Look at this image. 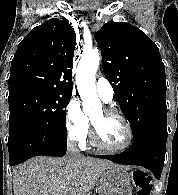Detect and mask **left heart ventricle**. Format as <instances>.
<instances>
[{
	"instance_id": "b2bd125f",
	"label": "left heart ventricle",
	"mask_w": 178,
	"mask_h": 195,
	"mask_svg": "<svg viewBox=\"0 0 178 195\" xmlns=\"http://www.w3.org/2000/svg\"><path fill=\"white\" fill-rule=\"evenodd\" d=\"M97 127L100 139L107 145L119 147L126 143L128 133L124 124L117 118L108 117L103 110L92 116Z\"/></svg>"
}]
</instances>
